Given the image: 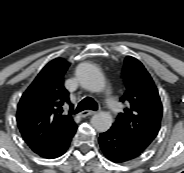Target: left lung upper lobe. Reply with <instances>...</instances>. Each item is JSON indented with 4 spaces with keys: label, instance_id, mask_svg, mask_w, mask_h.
<instances>
[{
    "label": "left lung upper lobe",
    "instance_id": "1",
    "mask_svg": "<svg viewBox=\"0 0 184 173\" xmlns=\"http://www.w3.org/2000/svg\"><path fill=\"white\" fill-rule=\"evenodd\" d=\"M123 77L126 90L120 100L127 108L118 115L112 127L144 152L160 129L161 100L151 76L137 59L126 57Z\"/></svg>",
    "mask_w": 184,
    "mask_h": 173
}]
</instances>
